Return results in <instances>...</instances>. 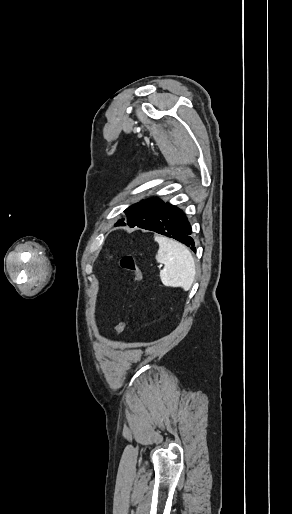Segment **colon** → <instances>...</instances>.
Here are the masks:
<instances>
[{
  "instance_id": "5ec220e1",
  "label": "colon",
  "mask_w": 292,
  "mask_h": 514,
  "mask_svg": "<svg viewBox=\"0 0 292 514\" xmlns=\"http://www.w3.org/2000/svg\"><path fill=\"white\" fill-rule=\"evenodd\" d=\"M121 268L130 274L134 279H138L142 276V272L139 266L136 264L134 256L132 254H125L120 257L119 260ZM128 326L127 320H121L118 324L112 327V333L115 336L123 333Z\"/></svg>"
}]
</instances>
